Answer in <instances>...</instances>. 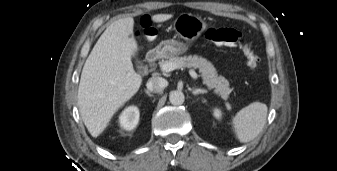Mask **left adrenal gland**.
<instances>
[{
    "label": "left adrenal gland",
    "instance_id": "left-adrenal-gland-1",
    "mask_svg": "<svg viewBox=\"0 0 337 171\" xmlns=\"http://www.w3.org/2000/svg\"><path fill=\"white\" fill-rule=\"evenodd\" d=\"M204 93H207V90H204V89H193L192 90V94L194 95L204 94Z\"/></svg>",
    "mask_w": 337,
    "mask_h": 171
}]
</instances>
